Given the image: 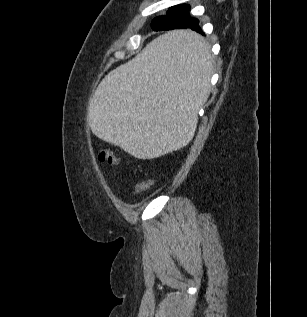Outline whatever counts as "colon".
<instances>
[{"label": "colon", "instance_id": "1", "mask_svg": "<svg viewBox=\"0 0 307 317\" xmlns=\"http://www.w3.org/2000/svg\"><path fill=\"white\" fill-rule=\"evenodd\" d=\"M98 159L100 162L108 165H117L120 162V159L114 154L111 149H101L98 153ZM154 184L152 178L145 179L144 181L137 183L134 187V193L139 194L149 190Z\"/></svg>", "mask_w": 307, "mask_h": 317}]
</instances>
